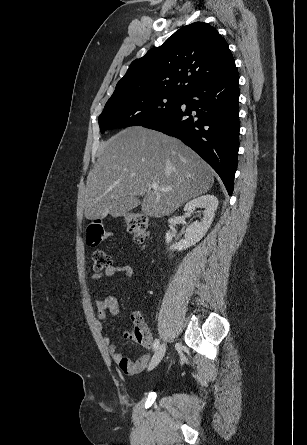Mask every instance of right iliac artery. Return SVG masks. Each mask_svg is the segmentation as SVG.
<instances>
[{
    "label": "right iliac artery",
    "instance_id": "1",
    "mask_svg": "<svg viewBox=\"0 0 307 445\" xmlns=\"http://www.w3.org/2000/svg\"><path fill=\"white\" fill-rule=\"evenodd\" d=\"M159 346V339H156L153 343V350H156Z\"/></svg>",
    "mask_w": 307,
    "mask_h": 445
}]
</instances>
